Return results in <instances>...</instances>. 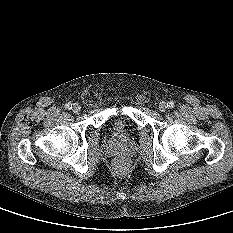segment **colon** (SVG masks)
<instances>
[{
    "label": "colon",
    "mask_w": 233,
    "mask_h": 233,
    "mask_svg": "<svg viewBox=\"0 0 233 233\" xmlns=\"http://www.w3.org/2000/svg\"><path fill=\"white\" fill-rule=\"evenodd\" d=\"M129 162L125 158H118L114 162V167L118 171H124L128 168Z\"/></svg>",
    "instance_id": "5ec220e1"
}]
</instances>
